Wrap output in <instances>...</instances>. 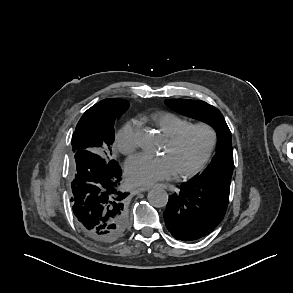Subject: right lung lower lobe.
<instances>
[{"label": "right lung lower lobe", "instance_id": "98d812e1", "mask_svg": "<svg viewBox=\"0 0 293 293\" xmlns=\"http://www.w3.org/2000/svg\"><path fill=\"white\" fill-rule=\"evenodd\" d=\"M74 170L71 201L80 227L98 242L120 239L127 226L128 196L120 190V167L95 152L79 150L75 153Z\"/></svg>", "mask_w": 293, "mask_h": 293}]
</instances>
